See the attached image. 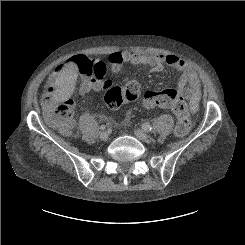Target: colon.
Listing matches in <instances>:
<instances>
[{
  "instance_id": "1",
  "label": "colon",
  "mask_w": 245,
  "mask_h": 245,
  "mask_svg": "<svg viewBox=\"0 0 245 245\" xmlns=\"http://www.w3.org/2000/svg\"><path fill=\"white\" fill-rule=\"evenodd\" d=\"M74 67L83 76L102 80L106 73V65L96 59L84 55H77L72 60ZM141 90L140 81L132 79L124 87H108L104 101L109 109H118L125 102L135 100ZM143 102L148 108L170 109L177 118L175 133L179 137L188 134L191 127L189 106L184 98L173 89L148 91L144 94ZM46 117L52 127L62 135L68 136L72 131L70 99L58 98L54 93L44 95Z\"/></svg>"
}]
</instances>
